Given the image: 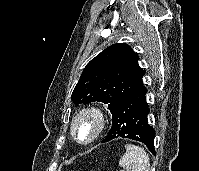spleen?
<instances>
[{
  "instance_id": "spleen-1",
  "label": "spleen",
  "mask_w": 199,
  "mask_h": 171,
  "mask_svg": "<svg viewBox=\"0 0 199 171\" xmlns=\"http://www.w3.org/2000/svg\"><path fill=\"white\" fill-rule=\"evenodd\" d=\"M125 149L126 152L119 161L120 167L126 171H149L150 159L142 147L126 144Z\"/></svg>"
}]
</instances>
